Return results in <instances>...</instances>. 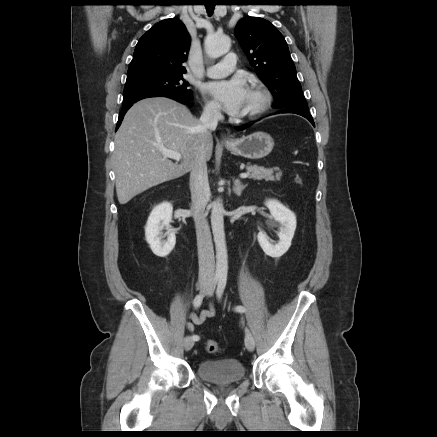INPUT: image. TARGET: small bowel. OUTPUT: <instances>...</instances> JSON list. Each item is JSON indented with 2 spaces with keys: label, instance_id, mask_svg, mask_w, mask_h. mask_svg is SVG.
I'll return each mask as SVG.
<instances>
[{
  "label": "small bowel",
  "instance_id": "small-bowel-1",
  "mask_svg": "<svg viewBox=\"0 0 437 437\" xmlns=\"http://www.w3.org/2000/svg\"><path fill=\"white\" fill-rule=\"evenodd\" d=\"M215 315V308L211 305L208 309L203 310L200 314L191 313L189 314V322L187 323V329L189 331L194 330L195 325L203 324L207 319Z\"/></svg>",
  "mask_w": 437,
  "mask_h": 437
}]
</instances>
